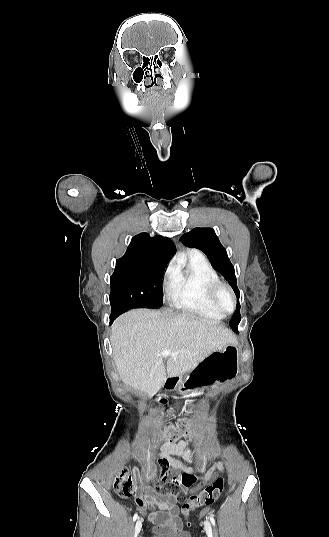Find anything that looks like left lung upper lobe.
<instances>
[{"mask_svg":"<svg viewBox=\"0 0 329 537\" xmlns=\"http://www.w3.org/2000/svg\"><path fill=\"white\" fill-rule=\"evenodd\" d=\"M182 243L190 248H197L205 253L211 262L212 267L218 271L231 285L237 296V309L229 324L235 332H238V325L241 320L239 297L240 292L237 287L234 266L231 264L226 249L220 243L212 228H194L181 236Z\"/></svg>","mask_w":329,"mask_h":537,"instance_id":"left-lung-upper-lobe-1","label":"left lung upper lobe"}]
</instances>
